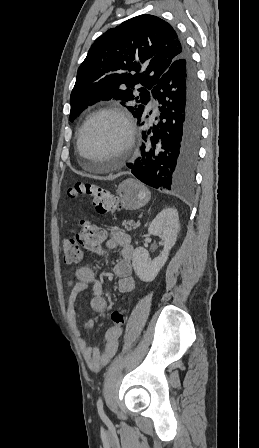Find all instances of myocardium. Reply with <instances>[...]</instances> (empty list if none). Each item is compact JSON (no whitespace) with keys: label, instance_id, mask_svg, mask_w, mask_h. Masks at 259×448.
Masks as SVG:
<instances>
[{"label":"myocardium","instance_id":"f54148a6","mask_svg":"<svg viewBox=\"0 0 259 448\" xmlns=\"http://www.w3.org/2000/svg\"><path fill=\"white\" fill-rule=\"evenodd\" d=\"M104 115H113L118 117L124 126V135L121 141L113 148L114 157H122L129 152L132 147L134 141L135 134V124L131 114L123 107L118 105H111L100 108L93 113H91L81 125L77 139H76V156L78 160H81V151H82V137L87 126L94 121L95 119L104 116Z\"/></svg>","mask_w":259,"mask_h":448}]
</instances>
